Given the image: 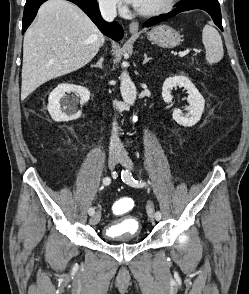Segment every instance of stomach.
I'll return each instance as SVG.
<instances>
[{
  "instance_id": "1",
  "label": "stomach",
  "mask_w": 249,
  "mask_h": 294,
  "mask_svg": "<svg viewBox=\"0 0 249 294\" xmlns=\"http://www.w3.org/2000/svg\"><path fill=\"white\" fill-rule=\"evenodd\" d=\"M147 37L153 43L165 48H173L179 45L181 41L179 32L165 24L158 25L151 29V31L147 33Z\"/></svg>"
}]
</instances>
